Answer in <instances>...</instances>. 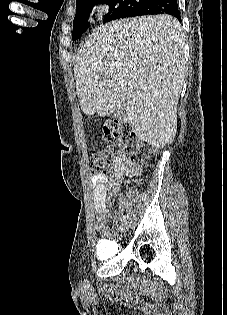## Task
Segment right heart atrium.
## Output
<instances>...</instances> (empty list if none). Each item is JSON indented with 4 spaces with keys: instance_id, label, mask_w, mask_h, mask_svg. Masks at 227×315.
<instances>
[{
    "instance_id": "d8ad5b80",
    "label": "right heart atrium",
    "mask_w": 227,
    "mask_h": 315,
    "mask_svg": "<svg viewBox=\"0 0 227 315\" xmlns=\"http://www.w3.org/2000/svg\"><path fill=\"white\" fill-rule=\"evenodd\" d=\"M93 13L102 16L106 14L109 11V4L105 1H100L95 3V5L92 7Z\"/></svg>"
}]
</instances>
